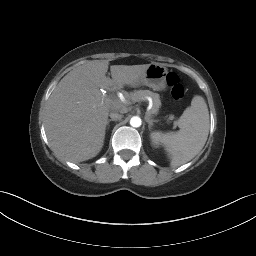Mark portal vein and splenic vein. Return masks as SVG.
<instances>
[{"mask_svg": "<svg viewBox=\"0 0 256 256\" xmlns=\"http://www.w3.org/2000/svg\"><path fill=\"white\" fill-rule=\"evenodd\" d=\"M147 112L149 113V112H150V109H149V110H147Z\"/></svg>", "mask_w": 256, "mask_h": 256, "instance_id": "portal-vein-and-splenic-vein-1", "label": "portal vein and splenic vein"}]
</instances>
